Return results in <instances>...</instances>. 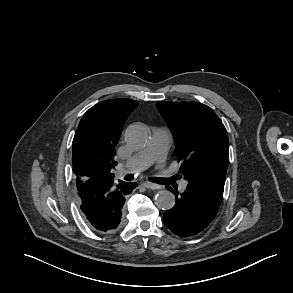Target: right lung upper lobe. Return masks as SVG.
I'll return each instance as SVG.
<instances>
[{"label": "right lung upper lobe", "instance_id": "cb5924a9", "mask_svg": "<svg viewBox=\"0 0 293 293\" xmlns=\"http://www.w3.org/2000/svg\"><path fill=\"white\" fill-rule=\"evenodd\" d=\"M137 105L126 98L106 100L83 115L72 142L76 180L114 178L115 146L126 117Z\"/></svg>", "mask_w": 293, "mask_h": 293}]
</instances>
